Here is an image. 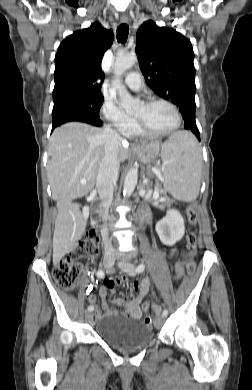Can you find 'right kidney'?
Returning <instances> with one entry per match:
<instances>
[{"label": "right kidney", "mask_w": 252, "mask_h": 390, "mask_svg": "<svg viewBox=\"0 0 252 390\" xmlns=\"http://www.w3.org/2000/svg\"><path fill=\"white\" fill-rule=\"evenodd\" d=\"M88 217H89V207L84 206L83 207V218L86 220V219H88Z\"/></svg>", "instance_id": "obj_1"}]
</instances>
